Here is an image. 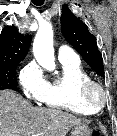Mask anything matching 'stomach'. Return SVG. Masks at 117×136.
I'll list each match as a JSON object with an SVG mask.
<instances>
[{"instance_id": "0dacf381", "label": "stomach", "mask_w": 117, "mask_h": 136, "mask_svg": "<svg viewBox=\"0 0 117 136\" xmlns=\"http://www.w3.org/2000/svg\"><path fill=\"white\" fill-rule=\"evenodd\" d=\"M70 136H91V131L87 125H76L70 133Z\"/></svg>"}]
</instances>
